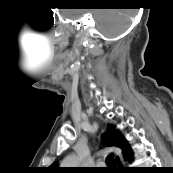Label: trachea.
<instances>
[{"label":"trachea","mask_w":173,"mask_h":173,"mask_svg":"<svg viewBox=\"0 0 173 173\" xmlns=\"http://www.w3.org/2000/svg\"><path fill=\"white\" fill-rule=\"evenodd\" d=\"M106 164H107V169L116 168V164H115V161H114V155L113 154H110L109 156H107Z\"/></svg>","instance_id":"obj_1"}]
</instances>
